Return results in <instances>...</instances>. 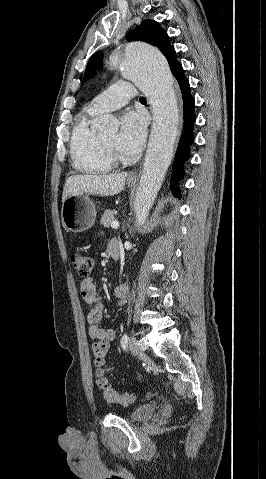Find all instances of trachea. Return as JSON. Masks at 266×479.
Returning a JSON list of instances; mask_svg holds the SVG:
<instances>
[{
    "mask_svg": "<svg viewBox=\"0 0 266 479\" xmlns=\"http://www.w3.org/2000/svg\"><path fill=\"white\" fill-rule=\"evenodd\" d=\"M140 101H146L144 97H140Z\"/></svg>",
    "mask_w": 266,
    "mask_h": 479,
    "instance_id": "1",
    "label": "trachea"
}]
</instances>
